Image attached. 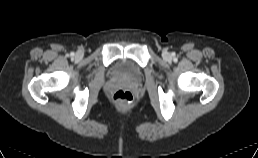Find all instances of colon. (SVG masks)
<instances>
[{"mask_svg": "<svg viewBox=\"0 0 258 158\" xmlns=\"http://www.w3.org/2000/svg\"><path fill=\"white\" fill-rule=\"evenodd\" d=\"M114 100L124 103V104H130L133 102V95L131 92L127 90H118L113 95Z\"/></svg>", "mask_w": 258, "mask_h": 158, "instance_id": "obj_1", "label": "colon"}]
</instances>
